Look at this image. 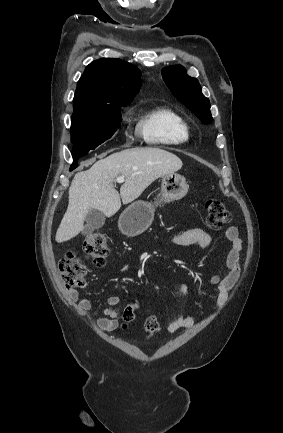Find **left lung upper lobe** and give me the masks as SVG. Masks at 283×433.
<instances>
[{"instance_id":"left-lung-upper-lobe-1","label":"left lung upper lobe","mask_w":283,"mask_h":433,"mask_svg":"<svg viewBox=\"0 0 283 433\" xmlns=\"http://www.w3.org/2000/svg\"><path fill=\"white\" fill-rule=\"evenodd\" d=\"M162 77L172 94L201 121L206 124L212 121L209 99L202 94L198 80L187 75L184 67H166Z\"/></svg>"}]
</instances>
